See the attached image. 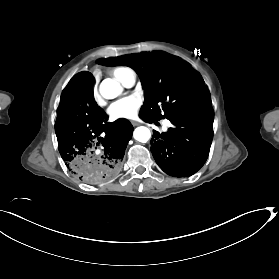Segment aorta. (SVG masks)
<instances>
[{
  "mask_svg": "<svg viewBox=\"0 0 279 279\" xmlns=\"http://www.w3.org/2000/svg\"><path fill=\"white\" fill-rule=\"evenodd\" d=\"M99 90L105 99H114L121 94L123 88L117 81L107 78L101 82ZM133 136L135 140L146 143L151 137V132L147 127L140 126L134 130Z\"/></svg>",
  "mask_w": 279,
  "mask_h": 279,
  "instance_id": "762f6f07",
  "label": "aorta"
}]
</instances>
